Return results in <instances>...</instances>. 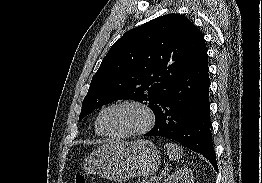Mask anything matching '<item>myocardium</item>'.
<instances>
[{"mask_svg": "<svg viewBox=\"0 0 262 183\" xmlns=\"http://www.w3.org/2000/svg\"><path fill=\"white\" fill-rule=\"evenodd\" d=\"M118 106H134V107L141 109L146 115L145 125L140 129L126 132L123 134H112V133L106 132L102 128V125H101L102 116L107 110L114 108V107H118ZM155 122H156L155 113L153 109L147 103L143 101H139V100H134V99H124V100H119V101L108 104L99 112L97 119H96V128L105 137H108L111 139H124V138L140 136V135H143L149 132L154 127Z\"/></svg>", "mask_w": 262, "mask_h": 183, "instance_id": "f54148a6", "label": "myocardium"}]
</instances>
